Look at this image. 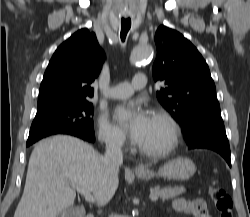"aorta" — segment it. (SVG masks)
<instances>
[{
    "instance_id": "obj_1",
    "label": "aorta",
    "mask_w": 250,
    "mask_h": 217,
    "mask_svg": "<svg viewBox=\"0 0 250 217\" xmlns=\"http://www.w3.org/2000/svg\"><path fill=\"white\" fill-rule=\"evenodd\" d=\"M153 55V48L149 45H138L131 54V62L136 63L149 59Z\"/></svg>"
}]
</instances>
